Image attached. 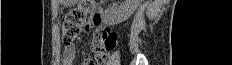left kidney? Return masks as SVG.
<instances>
[{
  "instance_id": "left-kidney-1",
  "label": "left kidney",
  "mask_w": 232,
  "mask_h": 65,
  "mask_svg": "<svg viewBox=\"0 0 232 65\" xmlns=\"http://www.w3.org/2000/svg\"><path fill=\"white\" fill-rule=\"evenodd\" d=\"M140 0H124L120 5L105 11V21L108 25H116L127 20L136 10Z\"/></svg>"
}]
</instances>
